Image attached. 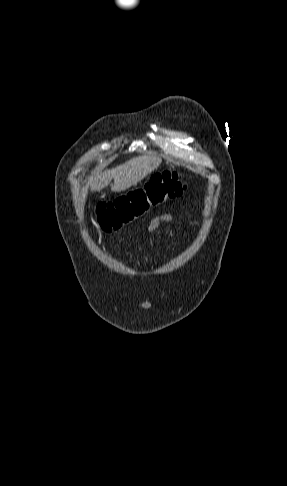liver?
I'll return each mask as SVG.
<instances>
[{
	"label": "liver",
	"instance_id": "obj_1",
	"mask_svg": "<svg viewBox=\"0 0 287 486\" xmlns=\"http://www.w3.org/2000/svg\"><path fill=\"white\" fill-rule=\"evenodd\" d=\"M161 164V159L154 156H138L112 170H106L94 180L92 191H101L114 179L111 190L124 191L136 185Z\"/></svg>",
	"mask_w": 287,
	"mask_h": 486
}]
</instances>
